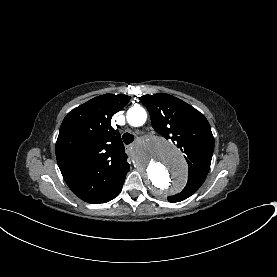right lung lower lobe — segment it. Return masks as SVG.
Listing matches in <instances>:
<instances>
[{"mask_svg":"<svg viewBox=\"0 0 277 277\" xmlns=\"http://www.w3.org/2000/svg\"><path fill=\"white\" fill-rule=\"evenodd\" d=\"M125 180V179H124ZM124 183V181H123ZM123 183L116 189V191L114 192V194H112L109 198L105 199L104 201L102 202H99V203H105V202H108L110 201L111 199L115 198L119 192L122 190V186H123Z\"/></svg>","mask_w":277,"mask_h":277,"instance_id":"1","label":"right lung lower lobe"}]
</instances>
